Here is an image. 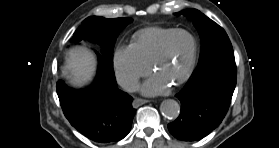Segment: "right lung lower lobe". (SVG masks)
Returning <instances> with one entry per match:
<instances>
[{
  "mask_svg": "<svg viewBox=\"0 0 279 148\" xmlns=\"http://www.w3.org/2000/svg\"><path fill=\"white\" fill-rule=\"evenodd\" d=\"M98 56L99 70L91 87L74 90L59 81L56 89L73 127L94 142H115L130 132L136 109L132 97L117 88L112 65Z\"/></svg>",
  "mask_w": 279,
  "mask_h": 148,
  "instance_id": "1",
  "label": "right lung lower lobe"
}]
</instances>
